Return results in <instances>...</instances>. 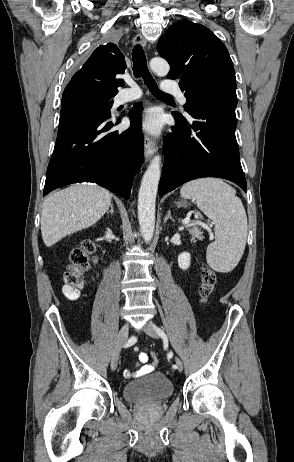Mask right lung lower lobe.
Segmentation results:
<instances>
[{"mask_svg":"<svg viewBox=\"0 0 294 462\" xmlns=\"http://www.w3.org/2000/svg\"><path fill=\"white\" fill-rule=\"evenodd\" d=\"M141 108L136 103L130 110L131 126L124 132H109L114 124L105 116L59 123L43 196L61 186L92 182L129 198L143 161Z\"/></svg>","mask_w":294,"mask_h":462,"instance_id":"obj_1","label":"right lung lower lobe"}]
</instances>
